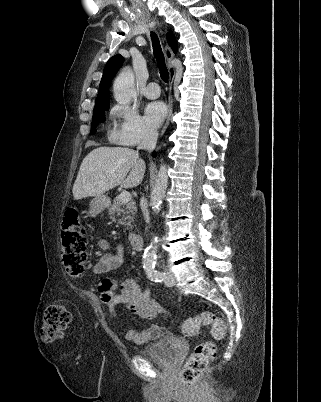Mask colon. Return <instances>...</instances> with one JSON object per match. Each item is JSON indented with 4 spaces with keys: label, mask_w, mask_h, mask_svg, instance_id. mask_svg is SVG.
Here are the masks:
<instances>
[{
    "label": "colon",
    "mask_w": 321,
    "mask_h": 402,
    "mask_svg": "<svg viewBox=\"0 0 321 402\" xmlns=\"http://www.w3.org/2000/svg\"><path fill=\"white\" fill-rule=\"evenodd\" d=\"M63 261L67 273L78 277L86 262L87 233L79 221L78 212L74 208L65 211L61 232ZM71 321V313L65 302L49 305L45 311L42 338L46 342H54L63 337ZM210 327L214 338L222 339L226 334V326L222 318L205 311L195 317L186 319L180 326L185 334H195L200 328ZM218 348L212 340L198 343L186 360L181 371V379L185 385H195L199 376L210 363L216 360Z\"/></svg>",
    "instance_id": "1"
}]
</instances>
